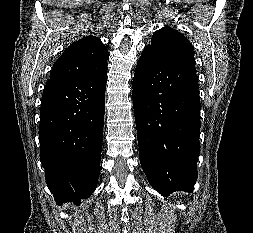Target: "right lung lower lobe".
Listing matches in <instances>:
<instances>
[{
  "instance_id": "1",
  "label": "right lung lower lobe",
  "mask_w": 253,
  "mask_h": 233,
  "mask_svg": "<svg viewBox=\"0 0 253 233\" xmlns=\"http://www.w3.org/2000/svg\"><path fill=\"white\" fill-rule=\"evenodd\" d=\"M107 68L50 77L40 109V160L57 203L80 204L95 190L105 110Z\"/></svg>"
}]
</instances>
